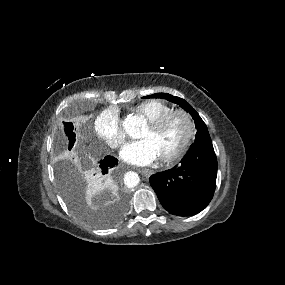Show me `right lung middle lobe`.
<instances>
[{"label":"right lung middle lobe","mask_w":285,"mask_h":285,"mask_svg":"<svg viewBox=\"0 0 285 285\" xmlns=\"http://www.w3.org/2000/svg\"><path fill=\"white\" fill-rule=\"evenodd\" d=\"M65 135L60 132L56 136V148L63 159L57 164V181L61 194L69 208L79 217L96 227H108L120 219V215L113 220H101L92 217L86 210L83 201V190L86 179L91 176L100 178L98 165H92L87 158L77 153L74 127L71 122H64Z\"/></svg>","instance_id":"dd1d6c3e"}]
</instances>
